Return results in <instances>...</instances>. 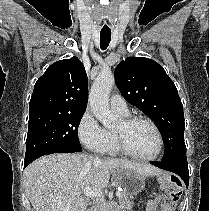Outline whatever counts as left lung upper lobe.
I'll return each instance as SVG.
<instances>
[{
    "label": "left lung upper lobe",
    "instance_id": "5c2ea615",
    "mask_svg": "<svg viewBox=\"0 0 209 211\" xmlns=\"http://www.w3.org/2000/svg\"><path fill=\"white\" fill-rule=\"evenodd\" d=\"M115 82L124 98L159 128L165 142L161 161L186 156L183 105L163 67L152 59L128 57L116 67Z\"/></svg>",
    "mask_w": 209,
    "mask_h": 211
}]
</instances>
